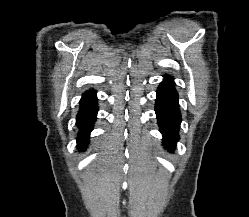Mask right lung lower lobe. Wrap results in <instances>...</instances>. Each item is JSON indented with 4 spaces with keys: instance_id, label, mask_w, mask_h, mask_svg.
<instances>
[{
    "instance_id": "right-lung-lower-lobe-1",
    "label": "right lung lower lobe",
    "mask_w": 249,
    "mask_h": 217,
    "mask_svg": "<svg viewBox=\"0 0 249 217\" xmlns=\"http://www.w3.org/2000/svg\"><path fill=\"white\" fill-rule=\"evenodd\" d=\"M97 110L96 92L93 90L85 92L80 100V110L76 121V125L80 129L78 147L81 150L86 147L89 133L96 120Z\"/></svg>"
}]
</instances>
